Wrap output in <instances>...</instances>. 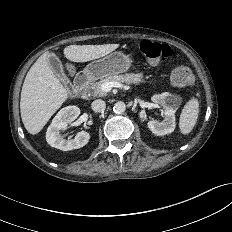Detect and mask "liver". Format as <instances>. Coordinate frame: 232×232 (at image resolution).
<instances>
[{
    "label": "liver",
    "instance_id": "1",
    "mask_svg": "<svg viewBox=\"0 0 232 232\" xmlns=\"http://www.w3.org/2000/svg\"><path fill=\"white\" fill-rule=\"evenodd\" d=\"M119 44L70 45L65 57L73 62H87L106 56ZM49 53L42 54L28 71L20 99L22 122L30 134L39 133L51 116L67 100L68 92L48 65Z\"/></svg>",
    "mask_w": 232,
    "mask_h": 232
}]
</instances>
